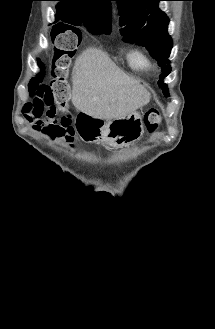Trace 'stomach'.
<instances>
[{"label":"stomach","instance_id":"stomach-1","mask_svg":"<svg viewBox=\"0 0 215 329\" xmlns=\"http://www.w3.org/2000/svg\"><path fill=\"white\" fill-rule=\"evenodd\" d=\"M99 136H95L94 142L104 143L114 148H121L139 140L144 133L141 115L132 113L103 122L99 127Z\"/></svg>","mask_w":215,"mask_h":329}]
</instances>
